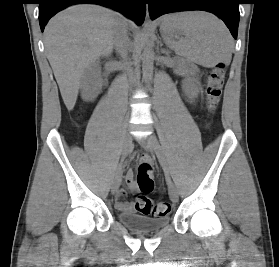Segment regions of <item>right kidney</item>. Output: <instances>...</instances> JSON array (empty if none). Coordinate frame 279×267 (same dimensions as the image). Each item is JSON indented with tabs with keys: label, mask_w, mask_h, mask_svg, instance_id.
I'll list each match as a JSON object with an SVG mask.
<instances>
[{
	"label": "right kidney",
	"mask_w": 279,
	"mask_h": 267,
	"mask_svg": "<svg viewBox=\"0 0 279 267\" xmlns=\"http://www.w3.org/2000/svg\"><path fill=\"white\" fill-rule=\"evenodd\" d=\"M100 87H101V79L99 76V72L96 70L95 72L88 74L84 78L82 84V98L85 101L91 100L94 92Z\"/></svg>",
	"instance_id": "1"
}]
</instances>
